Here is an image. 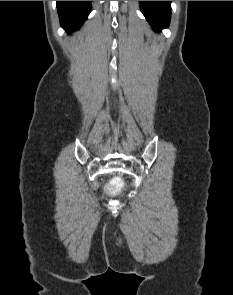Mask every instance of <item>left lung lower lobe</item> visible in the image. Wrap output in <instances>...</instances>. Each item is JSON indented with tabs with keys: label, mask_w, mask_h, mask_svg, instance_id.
I'll list each match as a JSON object with an SVG mask.
<instances>
[{
	"label": "left lung lower lobe",
	"mask_w": 233,
	"mask_h": 295,
	"mask_svg": "<svg viewBox=\"0 0 233 295\" xmlns=\"http://www.w3.org/2000/svg\"><path fill=\"white\" fill-rule=\"evenodd\" d=\"M140 8L154 30L160 31L169 25L171 1H139Z\"/></svg>",
	"instance_id": "left-lung-lower-lobe-1"
}]
</instances>
